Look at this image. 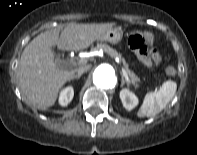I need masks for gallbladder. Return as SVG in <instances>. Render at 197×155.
<instances>
[{
    "instance_id": "obj_1",
    "label": "gallbladder",
    "mask_w": 197,
    "mask_h": 155,
    "mask_svg": "<svg viewBox=\"0 0 197 155\" xmlns=\"http://www.w3.org/2000/svg\"><path fill=\"white\" fill-rule=\"evenodd\" d=\"M55 55H56V57H57V62H56V64L59 66V67H61L62 66V62H61V60H59V58H60V54L59 53H55Z\"/></svg>"
}]
</instances>
